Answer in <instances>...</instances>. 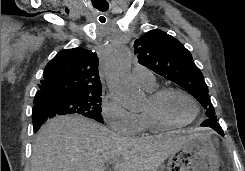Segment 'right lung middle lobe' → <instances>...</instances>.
Here are the masks:
<instances>
[{
    "label": "right lung middle lobe",
    "instance_id": "1",
    "mask_svg": "<svg viewBox=\"0 0 245 171\" xmlns=\"http://www.w3.org/2000/svg\"><path fill=\"white\" fill-rule=\"evenodd\" d=\"M41 104L48 107L56 115L77 113L103 123L101 94L49 96Z\"/></svg>",
    "mask_w": 245,
    "mask_h": 171
}]
</instances>
